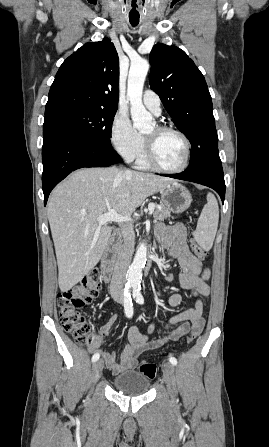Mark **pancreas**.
<instances>
[{
    "label": "pancreas",
    "mask_w": 269,
    "mask_h": 447,
    "mask_svg": "<svg viewBox=\"0 0 269 447\" xmlns=\"http://www.w3.org/2000/svg\"><path fill=\"white\" fill-rule=\"evenodd\" d=\"M153 218H155V220H165V218H171V212L170 210H167L165 206H161V210H157L156 206Z\"/></svg>",
    "instance_id": "obj_1"
}]
</instances>
